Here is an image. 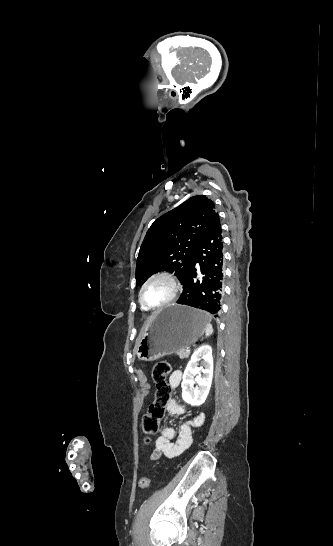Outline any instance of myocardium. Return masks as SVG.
<instances>
[{
	"instance_id": "obj_1",
	"label": "myocardium",
	"mask_w": 333,
	"mask_h": 546,
	"mask_svg": "<svg viewBox=\"0 0 333 546\" xmlns=\"http://www.w3.org/2000/svg\"><path fill=\"white\" fill-rule=\"evenodd\" d=\"M156 279H164V280L168 281L170 283V285L172 286V294L162 304L156 305V306H150L144 299V291H145L146 287L152 281H154ZM180 290H181V284H180L179 280L177 279V277L173 273H171L169 271H158V272H155L152 275H150L144 281V283L142 284V286L140 288V291H139V300H140L141 304L147 309H150V310L161 309L163 307H166V306L170 305L177 298Z\"/></svg>"
}]
</instances>
